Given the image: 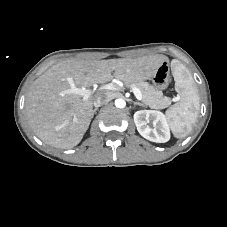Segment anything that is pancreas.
Returning a JSON list of instances; mask_svg holds the SVG:
<instances>
[{"label":"pancreas","mask_w":227,"mask_h":227,"mask_svg":"<svg viewBox=\"0 0 227 227\" xmlns=\"http://www.w3.org/2000/svg\"><path fill=\"white\" fill-rule=\"evenodd\" d=\"M126 85L130 87L134 86L141 91L143 105L149 106L153 109H163L170 105V99L168 97H163L161 91L156 90L147 82L139 81L126 83Z\"/></svg>","instance_id":"pancreas-1"}]
</instances>
